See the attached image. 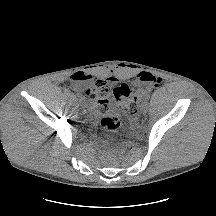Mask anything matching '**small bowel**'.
<instances>
[{"label": "small bowel", "instance_id": "obj_1", "mask_svg": "<svg viewBox=\"0 0 216 216\" xmlns=\"http://www.w3.org/2000/svg\"><path fill=\"white\" fill-rule=\"evenodd\" d=\"M87 79H88V77L83 72H76V73L72 74L70 77V81L75 83V84H79L81 82H84ZM122 85L125 86L127 89H129V87L126 84H122Z\"/></svg>", "mask_w": 216, "mask_h": 216}]
</instances>
